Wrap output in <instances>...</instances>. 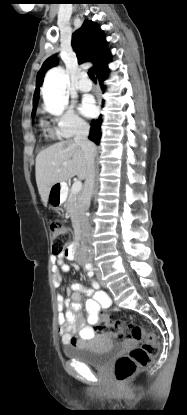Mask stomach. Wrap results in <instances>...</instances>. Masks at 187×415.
<instances>
[{"label":"stomach","instance_id":"stomach-1","mask_svg":"<svg viewBox=\"0 0 187 415\" xmlns=\"http://www.w3.org/2000/svg\"><path fill=\"white\" fill-rule=\"evenodd\" d=\"M65 183H57L53 185L49 191L48 202L53 208H58L63 202V191Z\"/></svg>","mask_w":187,"mask_h":415}]
</instances>
